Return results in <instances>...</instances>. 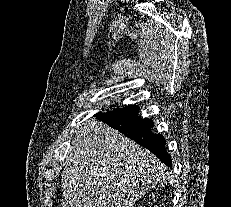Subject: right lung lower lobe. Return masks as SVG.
I'll list each match as a JSON object with an SVG mask.
<instances>
[{"mask_svg": "<svg viewBox=\"0 0 231 207\" xmlns=\"http://www.w3.org/2000/svg\"><path fill=\"white\" fill-rule=\"evenodd\" d=\"M139 107L129 105L121 109L96 114L97 118L117 129L125 136L150 150L167 166L172 167L171 156L166 152V140L162 135L151 132V119L138 116Z\"/></svg>", "mask_w": 231, "mask_h": 207, "instance_id": "right-lung-lower-lobe-1", "label": "right lung lower lobe"}]
</instances>
